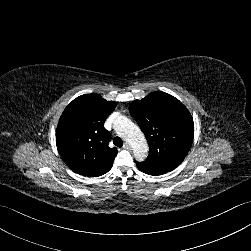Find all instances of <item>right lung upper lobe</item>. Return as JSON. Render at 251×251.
I'll return each mask as SVG.
<instances>
[{"instance_id":"1","label":"right lung upper lobe","mask_w":251,"mask_h":251,"mask_svg":"<svg viewBox=\"0 0 251 251\" xmlns=\"http://www.w3.org/2000/svg\"><path fill=\"white\" fill-rule=\"evenodd\" d=\"M115 107V102L98 94L81 95L66 107L57 126L56 145L72 171L98 177L111 169L118 151L108 146L111 135L104 122Z\"/></svg>"}]
</instances>
